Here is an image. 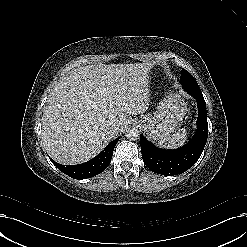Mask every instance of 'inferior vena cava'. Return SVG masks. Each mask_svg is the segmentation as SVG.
Segmentation results:
<instances>
[{
  "mask_svg": "<svg viewBox=\"0 0 247 247\" xmlns=\"http://www.w3.org/2000/svg\"><path fill=\"white\" fill-rule=\"evenodd\" d=\"M108 130L112 133H116L119 130V125L117 123H112L108 126Z\"/></svg>",
  "mask_w": 247,
  "mask_h": 247,
  "instance_id": "inferior-vena-cava-1",
  "label": "inferior vena cava"
}]
</instances>
